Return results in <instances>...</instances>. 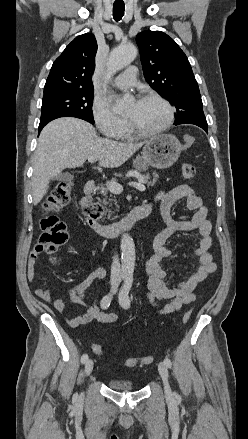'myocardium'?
<instances>
[{
	"instance_id": "obj_1",
	"label": "myocardium",
	"mask_w": 248,
	"mask_h": 439,
	"mask_svg": "<svg viewBox=\"0 0 248 439\" xmlns=\"http://www.w3.org/2000/svg\"><path fill=\"white\" fill-rule=\"evenodd\" d=\"M140 100H157L161 102L167 109L168 116L165 124L154 130H144L140 128L132 119L127 118L128 126L134 134L140 137L153 136L167 131L173 125L175 120V109L166 98L157 93H147L143 95Z\"/></svg>"
}]
</instances>
